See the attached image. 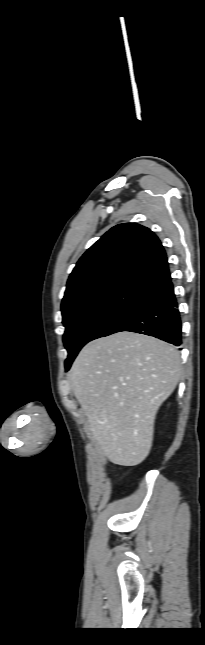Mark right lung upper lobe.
I'll list each match as a JSON object with an SVG mask.
<instances>
[{"label":"right lung upper lobe","instance_id":"1","mask_svg":"<svg viewBox=\"0 0 205 645\" xmlns=\"http://www.w3.org/2000/svg\"><path fill=\"white\" fill-rule=\"evenodd\" d=\"M168 272L165 250L151 230L136 223L119 224L80 258L61 308L126 284L145 288Z\"/></svg>","mask_w":205,"mask_h":645}]
</instances>
